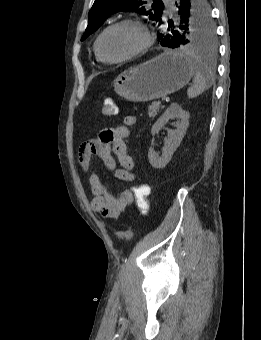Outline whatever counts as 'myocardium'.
Returning a JSON list of instances; mask_svg holds the SVG:
<instances>
[{"label": "myocardium", "instance_id": "1", "mask_svg": "<svg viewBox=\"0 0 261 340\" xmlns=\"http://www.w3.org/2000/svg\"><path fill=\"white\" fill-rule=\"evenodd\" d=\"M124 24L135 26L136 28H138L141 31L142 36H143L142 44L136 50H134L131 53L124 55L122 57L115 58V59H107V58L103 57L101 52H100V42H101L102 37L110 29L117 27V26H120V25H124ZM152 44H153V37H152V34H151L150 30L148 29V27L146 26L145 23H143L142 21L135 19V18H123V19L117 20V21L109 24L108 26H106L101 31V33L98 35V37L95 41L94 50H95V54H96L97 58L100 61H102L104 63H108V64H114V63L124 62V61L130 60L134 57L141 55L142 53L147 51Z\"/></svg>", "mask_w": 261, "mask_h": 340}]
</instances>
